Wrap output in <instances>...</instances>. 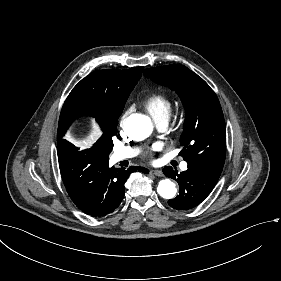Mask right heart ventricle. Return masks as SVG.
<instances>
[{"label": "right heart ventricle", "mask_w": 281, "mask_h": 281, "mask_svg": "<svg viewBox=\"0 0 281 281\" xmlns=\"http://www.w3.org/2000/svg\"><path fill=\"white\" fill-rule=\"evenodd\" d=\"M145 107L155 119L167 118L172 111L173 100L164 92H155L146 98Z\"/></svg>", "instance_id": "e07e8e85"}]
</instances>
